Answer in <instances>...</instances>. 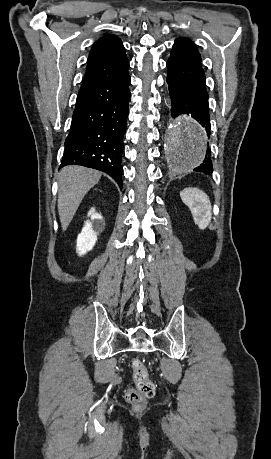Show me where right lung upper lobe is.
<instances>
[{"mask_svg": "<svg viewBox=\"0 0 271 459\" xmlns=\"http://www.w3.org/2000/svg\"><path fill=\"white\" fill-rule=\"evenodd\" d=\"M128 66L122 41L115 35H106L92 46L80 90L121 75L128 71Z\"/></svg>", "mask_w": 271, "mask_h": 459, "instance_id": "cb5924a9", "label": "right lung upper lobe"}]
</instances>
